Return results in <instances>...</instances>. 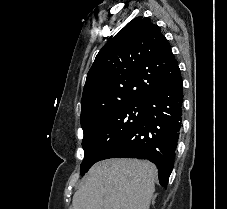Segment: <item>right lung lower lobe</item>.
<instances>
[{"instance_id":"right-lung-lower-lobe-1","label":"right lung lower lobe","mask_w":227,"mask_h":209,"mask_svg":"<svg viewBox=\"0 0 227 209\" xmlns=\"http://www.w3.org/2000/svg\"><path fill=\"white\" fill-rule=\"evenodd\" d=\"M156 72L168 75L169 82L145 99L141 119L102 160L148 159L157 165L160 185L167 188L181 128L183 89L178 64Z\"/></svg>"}]
</instances>
